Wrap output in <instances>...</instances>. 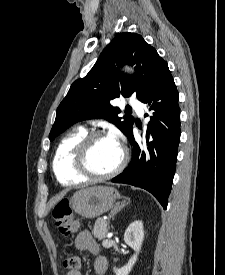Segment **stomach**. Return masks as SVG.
Returning <instances> with one entry per match:
<instances>
[{
  "label": "stomach",
  "mask_w": 225,
  "mask_h": 275,
  "mask_svg": "<svg viewBox=\"0 0 225 275\" xmlns=\"http://www.w3.org/2000/svg\"><path fill=\"white\" fill-rule=\"evenodd\" d=\"M119 198L118 192L107 186H93L76 192L71 198V209L83 218L93 219L108 212Z\"/></svg>",
  "instance_id": "0dacf381"
}]
</instances>
